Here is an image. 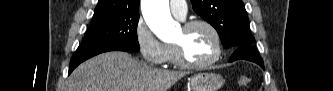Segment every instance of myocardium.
<instances>
[{"label":"myocardium","instance_id":"f54148a6","mask_svg":"<svg viewBox=\"0 0 333 91\" xmlns=\"http://www.w3.org/2000/svg\"><path fill=\"white\" fill-rule=\"evenodd\" d=\"M202 26L205 27L210 31L212 34L214 40H215V53L212 58L203 61V62H192L187 59L184 49L182 46L179 44H174V54H175V62L183 67V68H188V69H204L207 68L213 64H215L222 56L223 52V44H222V38L217 30V28L211 24L210 22L202 19H195V20H190L183 25V30L184 31H190L195 27Z\"/></svg>","mask_w":333,"mask_h":91}]
</instances>
